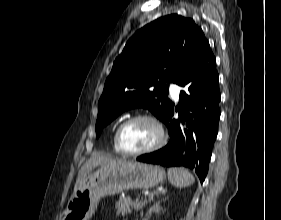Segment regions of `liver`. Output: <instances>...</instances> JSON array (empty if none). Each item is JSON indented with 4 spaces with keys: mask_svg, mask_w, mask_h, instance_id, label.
<instances>
[{
    "mask_svg": "<svg viewBox=\"0 0 281 220\" xmlns=\"http://www.w3.org/2000/svg\"><path fill=\"white\" fill-rule=\"evenodd\" d=\"M129 161L124 159L113 158L108 155H104L102 153H94L89 160L85 162V164L81 167L78 177L75 183L74 192L79 189L82 185L83 181L90 175L91 171L101 166V168H109L114 169L118 167H122L128 165Z\"/></svg>",
    "mask_w": 281,
    "mask_h": 220,
    "instance_id": "obj_1",
    "label": "liver"
}]
</instances>
